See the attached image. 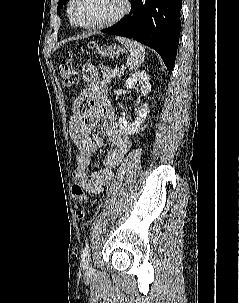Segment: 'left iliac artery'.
I'll list each match as a JSON object with an SVG mask.
<instances>
[{
	"label": "left iliac artery",
	"instance_id": "obj_1",
	"mask_svg": "<svg viewBox=\"0 0 239 303\" xmlns=\"http://www.w3.org/2000/svg\"><path fill=\"white\" fill-rule=\"evenodd\" d=\"M89 257H90V248L89 245H86L81 254V261L83 266L88 264Z\"/></svg>",
	"mask_w": 239,
	"mask_h": 303
}]
</instances>
